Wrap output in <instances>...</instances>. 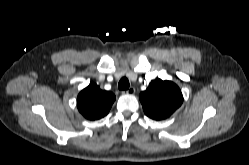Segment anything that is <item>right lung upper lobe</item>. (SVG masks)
<instances>
[{
    "mask_svg": "<svg viewBox=\"0 0 249 165\" xmlns=\"http://www.w3.org/2000/svg\"><path fill=\"white\" fill-rule=\"evenodd\" d=\"M115 95L110 91L101 90L94 83H90L77 97L79 112L89 120H97L108 114Z\"/></svg>",
    "mask_w": 249,
    "mask_h": 165,
    "instance_id": "right-lung-upper-lobe-1",
    "label": "right lung upper lobe"
}]
</instances>
